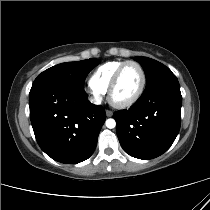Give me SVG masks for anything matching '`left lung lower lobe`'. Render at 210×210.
I'll return each instance as SVG.
<instances>
[{
	"mask_svg": "<svg viewBox=\"0 0 210 210\" xmlns=\"http://www.w3.org/2000/svg\"><path fill=\"white\" fill-rule=\"evenodd\" d=\"M182 96L174 74L146 85L128 110L114 113L119 142L138 159L160 156L174 142L181 124Z\"/></svg>",
	"mask_w": 210,
	"mask_h": 210,
	"instance_id": "1",
	"label": "left lung lower lobe"
}]
</instances>
